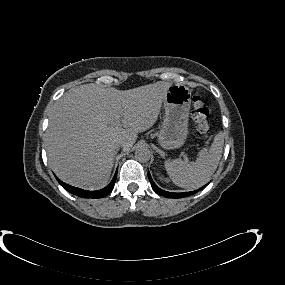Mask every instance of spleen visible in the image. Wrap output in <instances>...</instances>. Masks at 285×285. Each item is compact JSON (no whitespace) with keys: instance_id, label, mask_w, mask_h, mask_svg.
Masks as SVG:
<instances>
[{"instance_id":"obj_1","label":"spleen","mask_w":285,"mask_h":285,"mask_svg":"<svg viewBox=\"0 0 285 285\" xmlns=\"http://www.w3.org/2000/svg\"><path fill=\"white\" fill-rule=\"evenodd\" d=\"M223 134H216L212 145L198 153L195 162L180 159L165 161V169L172 182L182 188H199L211 180L222 156Z\"/></svg>"}]
</instances>
